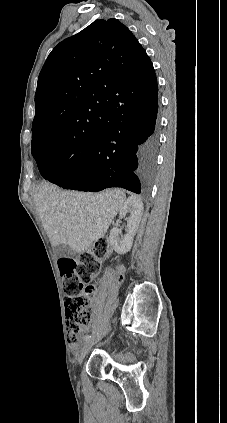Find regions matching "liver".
<instances>
[{
    "instance_id": "obj_1",
    "label": "liver",
    "mask_w": 227,
    "mask_h": 423,
    "mask_svg": "<svg viewBox=\"0 0 227 423\" xmlns=\"http://www.w3.org/2000/svg\"><path fill=\"white\" fill-rule=\"evenodd\" d=\"M125 200L122 190L86 194L42 184L34 204L53 247L64 243L75 253H84L94 241L105 237Z\"/></svg>"
}]
</instances>
